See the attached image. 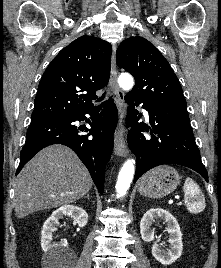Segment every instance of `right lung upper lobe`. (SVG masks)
<instances>
[{
    "label": "right lung upper lobe",
    "instance_id": "right-lung-upper-lobe-1",
    "mask_svg": "<svg viewBox=\"0 0 221 268\" xmlns=\"http://www.w3.org/2000/svg\"><path fill=\"white\" fill-rule=\"evenodd\" d=\"M111 53L108 42L91 36L79 37L61 50L40 80L32 120L92 108L96 91L109 81Z\"/></svg>",
    "mask_w": 221,
    "mask_h": 268
}]
</instances>
